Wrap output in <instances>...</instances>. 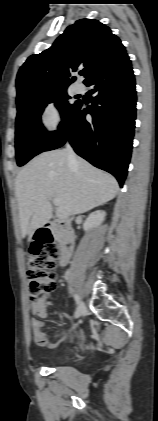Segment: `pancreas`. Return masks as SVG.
Here are the masks:
<instances>
[{"label":"pancreas","mask_w":158,"mask_h":421,"mask_svg":"<svg viewBox=\"0 0 158 421\" xmlns=\"http://www.w3.org/2000/svg\"><path fill=\"white\" fill-rule=\"evenodd\" d=\"M58 235V233L57 232H55V236H57Z\"/></svg>","instance_id":"1"}]
</instances>
